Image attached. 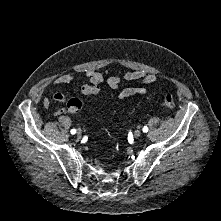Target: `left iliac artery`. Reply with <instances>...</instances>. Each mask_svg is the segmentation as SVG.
Segmentation results:
<instances>
[{
  "label": "left iliac artery",
  "instance_id": "obj_1",
  "mask_svg": "<svg viewBox=\"0 0 221 221\" xmlns=\"http://www.w3.org/2000/svg\"><path fill=\"white\" fill-rule=\"evenodd\" d=\"M142 130H143V132H145V133H146V132L148 131V127H147V126H145V127H143V129H142Z\"/></svg>",
  "mask_w": 221,
  "mask_h": 221
}]
</instances>
